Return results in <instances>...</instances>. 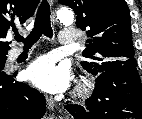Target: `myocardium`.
<instances>
[{"label": "myocardium", "instance_id": "1", "mask_svg": "<svg viewBox=\"0 0 142 119\" xmlns=\"http://www.w3.org/2000/svg\"><path fill=\"white\" fill-rule=\"evenodd\" d=\"M91 89H92L91 82L85 81L77 87L76 94H77V96L83 97V96L88 95L89 92L91 91Z\"/></svg>", "mask_w": 142, "mask_h": 119}]
</instances>
